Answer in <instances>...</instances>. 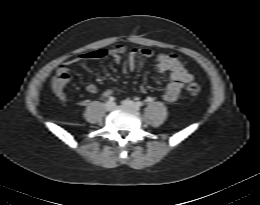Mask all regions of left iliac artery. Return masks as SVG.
<instances>
[{
    "label": "left iliac artery",
    "instance_id": "44dca946",
    "mask_svg": "<svg viewBox=\"0 0 260 205\" xmlns=\"http://www.w3.org/2000/svg\"><path fill=\"white\" fill-rule=\"evenodd\" d=\"M136 104L138 105V107H141L143 105L141 101H137Z\"/></svg>",
    "mask_w": 260,
    "mask_h": 205
}]
</instances>
